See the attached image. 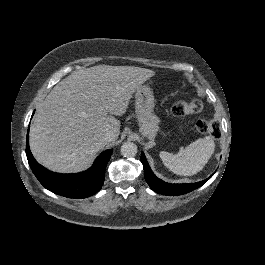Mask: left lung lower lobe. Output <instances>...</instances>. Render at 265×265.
Masks as SVG:
<instances>
[{
    "label": "left lung lower lobe",
    "instance_id": "left-lung-lower-lobe-1",
    "mask_svg": "<svg viewBox=\"0 0 265 265\" xmlns=\"http://www.w3.org/2000/svg\"><path fill=\"white\" fill-rule=\"evenodd\" d=\"M141 161L144 167V176L145 180L149 184L152 190L162 195L176 196L188 193L198 187L202 186L210 177L206 180L197 182V183H189V184H170L162 181L157 178L153 172L151 171L144 153H141Z\"/></svg>",
    "mask_w": 265,
    "mask_h": 265
}]
</instances>
